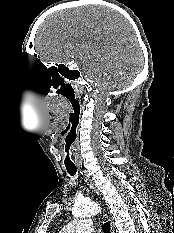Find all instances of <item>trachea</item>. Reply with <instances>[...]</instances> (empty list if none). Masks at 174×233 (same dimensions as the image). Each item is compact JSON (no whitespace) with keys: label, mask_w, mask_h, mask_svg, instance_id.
Segmentation results:
<instances>
[{"label":"trachea","mask_w":174,"mask_h":233,"mask_svg":"<svg viewBox=\"0 0 174 233\" xmlns=\"http://www.w3.org/2000/svg\"><path fill=\"white\" fill-rule=\"evenodd\" d=\"M67 172L71 175L74 176L77 172V168L75 167H66ZM103 232L104 233H110V224L109 222H105L102 226Z\"/></svg>","instance_id":"3493384b"}]
</instances>
